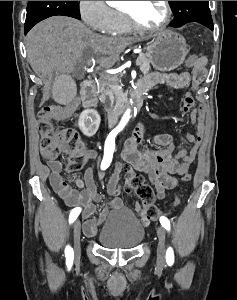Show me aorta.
<instances>
[{"label":"aorta","instance_id":"762f6f07","mask_svg":"<svg viewBox=\"0 0 237 300\" xmlns=\"http://www.w3.org/2000/svg\"><path fill=\"white\" fill-rule=\"evenodd\" d=\"M129 119H131V109H127V111H125L118 127H120V129H124V127H126Z\"/></svg>","mask_w":237,"mask_h":300}]
</instances>
